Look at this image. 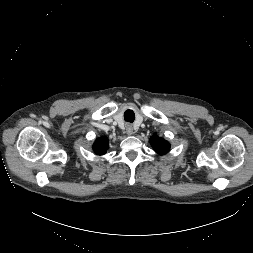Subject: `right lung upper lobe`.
Returning <instances> with one entry per match:
<instances>
[{
	"instance_id": "1",
	"label": "right lung upper lobe",
	"mask_w": 253,
	"mask_h": 253,
	"mask_svg": "<svg viewBox=\"0 0 253 253\" xmlns=\"http://www.w3.org/2000/svg\"><path fill=\"white\" fill-rule=\"evenodd\" d=\"M109 147V141L106 137H101L96 139L94 145H93V150L95 153L99 155H103L106 153Z\"/></svg>"
}]
</instances>
